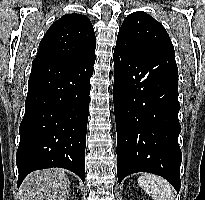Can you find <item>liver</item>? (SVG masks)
Segmentation results:
<instances>
[{"label": "liver", "mask_w": 205, "mask_h": 200, "mask_svg": "<svg viewBox=\"0 0 205 200\" xmlns=\"http://www.w3.org/2000/svg\"><path fill=\"white\" fill-rule=\"evenodd\" d=\"M70 181L65 170L45 169L30 173L20 188L21 200H67Z\"/></svg>", "instance_id": "obj_1"}]
</instances>
